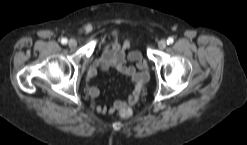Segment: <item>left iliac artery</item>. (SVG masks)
I'll use <instances>...</instances> for the list:
<instances>
[{"mask_svg":"<svg viewBox=\"0 0 247 145\" xmlns=\"http://www.w3.org/2000/svg\"><path fill=\"white\" fill-rule=\"evenodd\" d=\"M174 42V39L172 38V37H169L168 39H167V44L169 45V44H172Z\"/></svg>","mask_w":247,"mask_h":145,"instance_id":"left-iliac-artery-1","label":"left iliac artery"}]
</instances>
